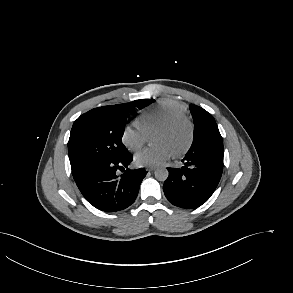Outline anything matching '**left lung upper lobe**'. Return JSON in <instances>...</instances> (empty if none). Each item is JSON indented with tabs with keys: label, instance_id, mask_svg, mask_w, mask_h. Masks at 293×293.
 Listing matches in <instances>:
<instances>
[{
	"label": "left lung upper lobe",
	"instance_id": "left-lung-upper-lobe-1",
	"mask_svg": "<svg viewBox=\"0 0 293 293\" xmlns=\"http://www.w3.org/2000/svg\"><path fill=\"white\" fill-rule=\"evenodd\" d=\"M190 112L194 121V137L189 151L200 146L216 147L223 151V140L213 116L196 105H190Z\"/></svg>",
	"mask_w": 293,
	"mask_h": 293
}]
</instances>
